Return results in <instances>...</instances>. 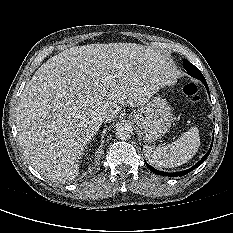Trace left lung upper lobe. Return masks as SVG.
I'll list each match as a JSON object with an SVG mask.
<instances>
[{
	"mask_svg": "<svg viewBox=\"0 0 233 233\" xmlns=\"http://www.w3.org/2000/svg\"><path fill=\"white\" fill-rule=\"evenodd\" d=\"M184 69L190 76L197 78L198 80L205 79L200 70L186 59H184Z\"/></svg>",
	"mask_w": 233,
	"mask_h": 233,
	"instance_id": "left-lung-upper-lobe-1",
	"label": "left lung upper lobe"
}]
</instances>
